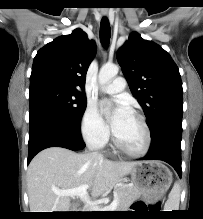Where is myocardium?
Listing matches in <instances>:
<instances>
[{
  "label": "myocardium",
  "instance_id": "f54148a6",
  "mask_svg": "<svg viewBox=\"0 0 203 219\" xmlns=\"http://www.w3.org/2000/svg\"><path fill=\"white\" fill-rule=\"evenodd\" d=\"M131 114H133L141 123L143 130H144V144L140 150L133 151L128 148H126L116 137L114 131L112 132V140L115 145V147L122 153H124L127 156L133 157V158H140L144 157L150 150L151 147V131L148 126V123L145 119V117L140 114L137 111H131Z\"/></svg>",
  "mask_w": 203,
  "mask_h": 219
}]
</instances>
